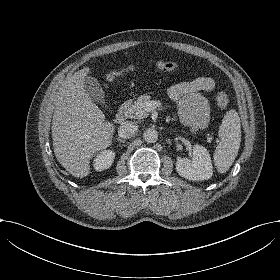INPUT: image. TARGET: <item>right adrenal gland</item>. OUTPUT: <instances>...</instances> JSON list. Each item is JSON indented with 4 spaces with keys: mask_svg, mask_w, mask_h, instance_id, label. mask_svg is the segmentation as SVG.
Instances as JSON below:
<instances>
[{
    "mask_svg": "<svg viewBox=\"0 0 280 280\" xmlns=\"http://www.w3.org/2000/svg\"><path fill=\"white\" fill-rule=\"evenodd\" d=\"M117 141L120 142V143H124V141L120 140L119 138H117Z\"/></svg>",
    "mask_w": 280,
    "mask_h": 280,
    "instance_id": "obj_1",
    "label": "right adrenal gland"
}]
</instances>
